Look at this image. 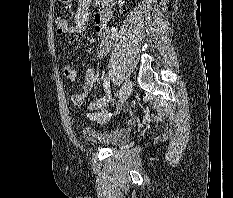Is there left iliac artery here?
Returning a JSON list of instances; mask_svg holds the SVG:
<instances>
[{
  "label": "left iliac artery",
  "mask_w": 233,
  "mask_h": 198,
  "mask_svg": "<svg viewBox=\"0 0 233 198\" xmlns=\"http://www.w3.org/2000/svg\"><path fill=\"white\" fill-rule=\"evenodd\" d=\"M103 87L110 96V90H109V87H110V74L105 77L104 82H103Z\"/></svg>",
  "instance_id": "44dca946"
}]
</instances>
